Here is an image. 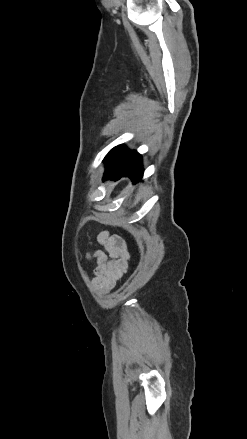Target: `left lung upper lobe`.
<instances>
[{
	"label": "left lung upper lobe",
	"mask_w": 247,
	"mask_h": 439,
	"mask_svg": "<svg viewBox=\"0 0 247 439\" xmlns=\"http://www.w3.org/2000/svg\"><path fill=\"white\" fill-rule=\"evenodd\" d=\"M130 150L123 145L114 147L105 157L106 167L115 170L123 169L128 161Z\"/></svg>",
	"instance_id": "1"
}]
</instances>
